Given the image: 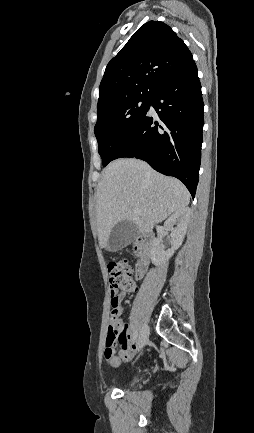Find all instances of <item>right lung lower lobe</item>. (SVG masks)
Returning a JSON list of instances; mask_svg holds the SVG:
<instances>
[{
  "label": "right lung lower lobe",
  "instance_id": "1",
  "mask_svg": "<svg viewBox=\"0 0 254 433\" xmlns=\"http://www.w3.org/2000/svg\"><path fill=\"white\" fill-rule=\"evenodd\" d=\"M150 105L157 114L151 115L148 108L113 160L142 159L156 171L181 180L194 198L201 163L204 104L193 59L158 89Z\"/></svg>",
  "mask_w": 254,
  "mask_h": 433
}]
</instances>
